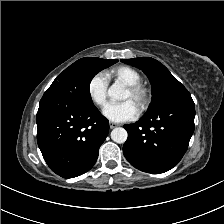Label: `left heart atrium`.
Segmentation results:
<instances>
[{"label":"left heart atrium","mask_w":224,"mask_h":224,"mask_svg":"<svg viewBox=\"0 0 224 224\" xmlns=\"http://www.w3.org/2000/svg\"><path fill=\"white\" fill-rule=\"evenodd\" d=\"M104 116L112 122H126L134 120L138 116L137 105L126 100L119 103H109L103 109Z\"/></svg>","instance_id":"1"}]
</instances>
